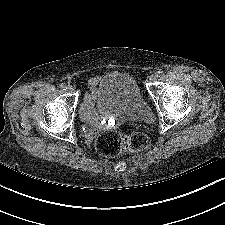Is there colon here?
<instances>
[{
	"label": "colon",
	"mask_w": 225,
	"mask_h": 225,
	"mask_svg": "<svg viewBox=\"0 0 225 225\" xmlns=\"http://www.w3.org/2000/svg\"><path fill=\"white\" fill-rule=\"evenodd\" d=\"M149 145V138L142 132L125 135L120 132L107 131L101 133L95 141L96 150L106 157L144 151Z\"/></svg>",
	"instance_id": "1"
}]
</instances>
